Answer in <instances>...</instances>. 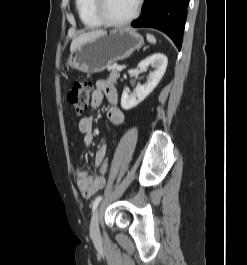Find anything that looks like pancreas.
Returning a JSON list of instances; mask_svg holds the SVG:
<instances>
[{
	"label": "pancreas",
	"mask_w": 247,
	"mask_h": 265,
	"mask_svg": "<svg viewBox=\"0 0 247 265\" xmlns=\"http://www.w3.org/2000/svg\"><path fill=\"white\" fill-rule=\"evenodd\" d=\"M119 77L120 74L119 70H117V67H112L108 80L112 83H115Z\"/></svg>",
	"instance_id": "1"
}]
</instances>
